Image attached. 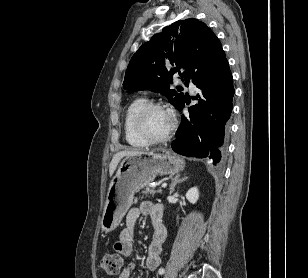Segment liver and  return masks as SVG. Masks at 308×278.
Wrapping results in <instances>:
<instances>
[{"mask_svg":"<svg viewBox=\"0 0 308 278\" xmlns=\"http://www.w3.org/2000/svg\"><path fill=\"white\" fill-rule=\"evenodd\" d=\"M143 153H148L143 150H125V151H120L117 152L113 158L112 161L109 165V175L112 176L114 171L116 170V167L120 160L125 157V156H130V155H138V154H143Z\"/></svg>","mask_w":308,"mask_h":278,"instance_id":"1","label":"liver"}]
</instances>
